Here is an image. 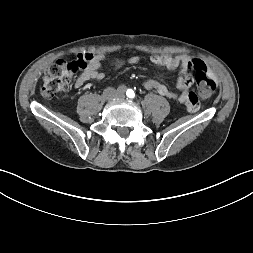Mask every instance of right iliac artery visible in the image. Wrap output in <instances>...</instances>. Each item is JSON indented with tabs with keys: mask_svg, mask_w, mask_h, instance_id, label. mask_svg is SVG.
<instances>
[{
	"mask_svg": "<svg viewBox=\"0 0 253 253\" xmlns=\"http://www.w3.org/2000/svg\"><path fill=\"white\" fill-rule=\"evenodd\" d=\"M125 90H126L125 86H119V87L117 88V92H119V93H124Z\"/></svg>",
	"mask_w": 253,
	"mask_h": 253,
	"instance_id": "right-iliac-artery-1",
	"label": "right iliac artery"
}]
</instances>
